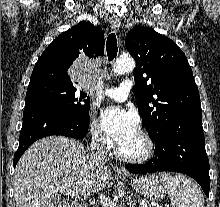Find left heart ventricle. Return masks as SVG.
Returning <instances> with one entry per match:
<instances>
[{
	"label": "left heart ventricle",
	"instance_id": "obj_1",
	"mask_svg": "<svg viewBox=\"0 0 220 207\" xmlns=\"http://www.w3.org/2000/svg\"><path fill=\"white\" fill-rule=\"evenodd\" d=\"M120 151L128 156H139L146 150V143L139 132L118 146Z\"/></svg>",
	"mask_w": 220,
	"mask_h": 207
}]
</instances>
